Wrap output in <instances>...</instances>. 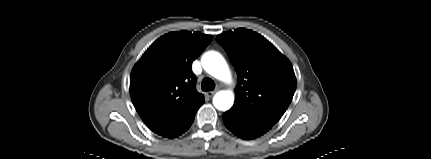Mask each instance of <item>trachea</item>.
I'll return each mask as SVG.
<instances>
[{"label": "trachea", "mask_w": 431, "mask_h": 159, "mask_svg": "<svg viewBox=\"0 0 431 159\" xmlns=\"http://www.w3.org/2000/svg\"><path fill=\"white\" fill-rule=\"evenodd\" d=\"M203 91H212L215 88V82L211 78H204L201 83Z\"/></svg>", "instance_id": "1"}]
</instances>
